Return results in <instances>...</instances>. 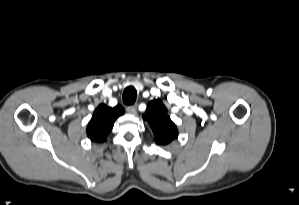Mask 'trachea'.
<instances>
[{
    "mask_svg": "<svg viewBox=\"0 0 299 205\" xmlns=\"http://www.w3.org/2000/svg\"><path fill=\"white\" fill-rule=\"evenodd\" d=\"M137 98V91L133 86H128L123 92V102L126 105H133Z\"/></svg>",
    "mask_w": 299,
    "mask_h": 205,
    "instance_id": "trachea-1",
    "label": "trachea"
}]
</instances>
